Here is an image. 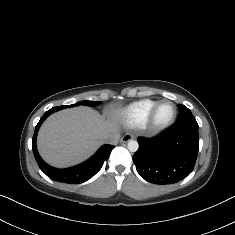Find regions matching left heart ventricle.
Segmentation results:
<instances>
[{
  "mask_svg": "<svg viewBox=\"0 0 235 235\" xmlns=\"http://www.w3.org/2000/svg\"><path fill=\"white\" fill-rule=\"evenodd\" d=\"M175 109L171 102H165L161 104L157 111V121L159 123H165L169 121L174 115Z\"/></svg>",
  "mask_w": 235,
  "mask_h": 235,
  "instance_id": "obj_1",
  "label": "left heart ventricle"
}]
</instances>
